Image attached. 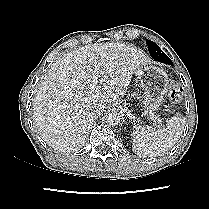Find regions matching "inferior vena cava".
Here are the masks:
<instances>
[{
  "instance_id": "inferior-vena-cava-1",
  "label": "inferior vena cava",
  "mask_w": 209,
  "mask_h": 209,
  "mask_svg": "<svg viewBox=\"0 0 209 209\" xmlns=\"http://www.w3.org/2000/svg\"><path fill=\"white\" fill-rule=\"evenodd\" d=\"M91 114H92L93 117H95V116L100 115V111H99V109H95L91 112Z\"/></svg>"
}]
</instances>
